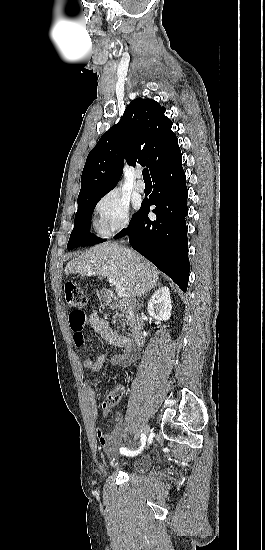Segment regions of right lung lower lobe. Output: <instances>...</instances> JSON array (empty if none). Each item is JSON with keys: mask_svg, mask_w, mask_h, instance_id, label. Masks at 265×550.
Returning a JSON list of instances; mask_svg holds the SVG:
<instances>
[{"mask_svg": "<svg viewBox=\"0 0 265 550\" xmlns=\"http://www.w3.org/2000/svg\"><path fill=\"white\" fill-rule=\"evenodd\" d=\"M180 149L152 174L154 190L133 215L127 230L129 243L186 292L189 278L188 240L185 217L188 214L185 172ZM156 220L148 218L150 206Z\"/></svg>", "mask_w": 265, "mask_h": 550, "instance_id": "obj_1", "label": "right lung lower lobe"}]
</instances>
